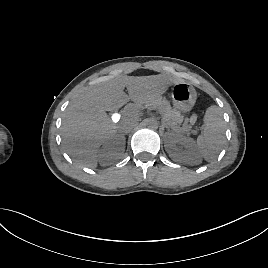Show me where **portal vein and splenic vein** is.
Segmentation results:
<instances>
[{
    "label": "portal vein and splenic vein",
    "mask_w": 268,
    "mask_h": 268,
    "mask_svg": "<svg viewBox=\"0 0 268 268\" xmlns=\"http://www.w3.org/2000/svg\"><path fill=\"white\" fill-rule=\"evenodd\" d=\"M124 112H127V110H124ZM118 120H119L118 116L117 115H114L113 116V121H118Z\"/></svg>",
    "instance_id": "1"
}]
</instances>
